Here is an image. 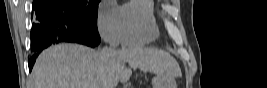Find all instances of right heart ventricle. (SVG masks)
Instances as JSON below:
<instances>
[{
    "instance_id": "obj_1",
    "label": "right heart ventricle",
    "mask_w": 267,
    "mask_h": 88,
    "mask_svg": "<svg viewBox=\"0 0 267 88\" xmlns=\"http://www.w3.org/2000/svg\"><path fill=\"white\" fill-rule=\"evenodd\" d=\"M121 12L124 45H146L158 38L160 31L152 0L129 1L121 7Z\"/></svg>"
}]
</instances>
